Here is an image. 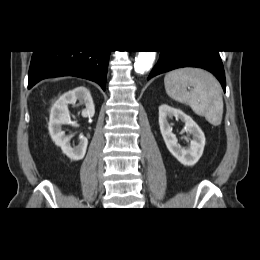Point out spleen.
Returning a JSON list of instances; mask_svg holds the SVG:
<instances>
[{"instance_id": "spleen-1", "label": "spleen", "mask_w": 260, "mask_h": 260, "mask_svg": "<svg viewBox=\"0 0 260 260\" xmlns=\"http://www.w3.org/2000/svg\"><path fill=\"white\" fill-rule=\"evenodd\" d=\"M168 96L189 105L213 126H219L223 116L222 89L216 78L202 69L181 68L168 72L164 78ZM191 87V91L187 88Z\"/></svg>"}]
</instances>
